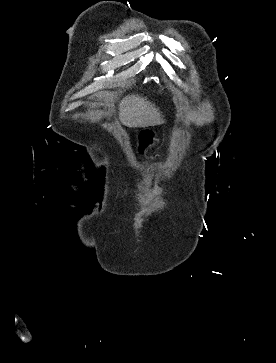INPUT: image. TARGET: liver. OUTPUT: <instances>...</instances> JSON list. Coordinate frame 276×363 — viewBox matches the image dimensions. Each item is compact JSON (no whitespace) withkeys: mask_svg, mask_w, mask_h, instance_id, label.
I'll return each instance as SVG.
<instances>
[{"mask_svg":"<svg viewBox=\"0 0 276 363\" xmlns=\"http://www.w3.org/2000/svg\"><path fill=\"white\" fill-rule=\"evenodd\" d=\"M119 119L127 127H148L164 123L158 109L139 95H128L119 104Z\"/></svg>","mask_w":276,"mask_h":363,"instance_id":"liver-1","label":"liver"}]
</instances>
